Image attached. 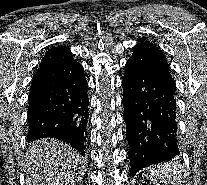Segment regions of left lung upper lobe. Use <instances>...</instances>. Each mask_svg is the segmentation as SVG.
Returning <instances> with one entry per match:
<instances>
[{"mask_svg": "<svg viewBox=\"0 0 207 185\" xmlns=\"http://www.w3.org/2000/svg\"><path fill=\"white\" fill-rule=\"evenodd\" d=\"M133 49V54L126 64L129 68L143 70L149 74L156 75L176 88L165 56L155 44L149 41H141Z\"/></svg>", "mask_w": 207, "mask_h": 185, "instance_id": "left-lung-upper-lobe-1", "label": "left lung upper lobe"}]
</instances>
